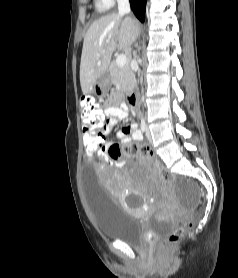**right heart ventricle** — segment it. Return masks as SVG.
I'll return each mask as SVG.
<instances>
[{
  "instance_id": "obj_1",
  "label": "right heart ventricle",
  "mask_w": 238,
  "mask_h": 278,
  "mask_svg": "<svg viewBox=\"0 0 238 278\" xmlns=\"http://www.w3.org/2000/svg\"><path fill=\"white\" fill-rule=\"evenodd\" d=\"M96 10L100 13L107 11L110 6L103 0H95Z\"/></svg>"
}]
</instances>
